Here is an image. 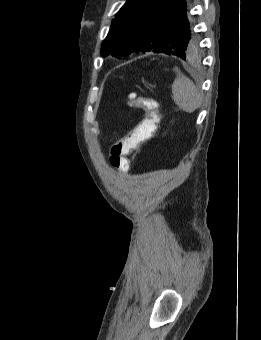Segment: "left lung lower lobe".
Segmentation results:
<instances>
[{
  "instance_id": "1",
  "label": "left lung lower lobe",
  "mask_w": 261,
  "mask_h": 340,
  "mask_svg": "<svg viewBox=\"0 0 261 340\" xmlns=\"http://www.w3.org/2000/svg\"><path fill=\"white\" fill-rule=\"evenodd\" d=\"M160 11L163 13H167L168 19H176V21L187 12H189V10L187 9L186 0H166ZM154 53L168 54L167 51L163 49Z\"/></svg>"
}]
</instances>
